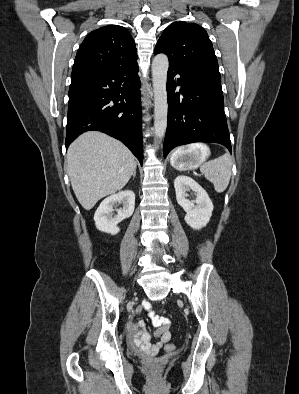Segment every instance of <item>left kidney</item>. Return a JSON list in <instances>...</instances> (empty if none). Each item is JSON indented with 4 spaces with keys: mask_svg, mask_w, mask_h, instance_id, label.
Masks as SVG:
<instances>
[{
    "mask_svg": "<svg viewBox=\"0 0 299 394\" xmlns=\"http://www.w3.org/2000/svg\"><path fill=\"white\" fill-rule=\"evenodd\" d=\"M176 199L178 204L186 212V223L195 230L205 227L212 216L213 204L207 192L192 178L184 175L174 180ZM192 190L196 198L187 199V191ZM196 204V205H195Z\"/></svg>",
    "mask_w": 299,
    "mask_h": 394,
    "instance_id": "1",
    "label": "left kidney"
}]
</instances>
